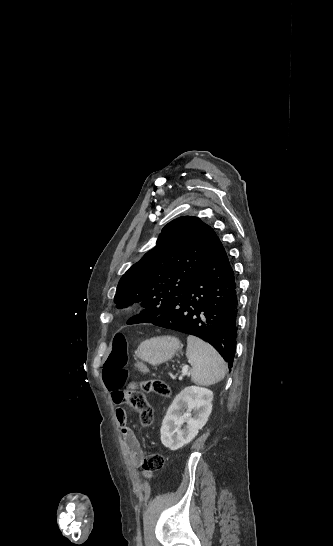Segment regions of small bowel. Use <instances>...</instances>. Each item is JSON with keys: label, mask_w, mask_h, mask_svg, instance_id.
<instances>
[{"label": "small bowel", "mask_w": 333, "mask_h": 546, "mask_svg": "<svg viewBox=\"0 0 333 546\" xmlns=\"http://www.w3.org/2000/svg\"><path fill=\"white\" fill-rule=\"evenodd\" d=\"M133 368L135 372L138 374H144V373L147 374L150 371L146 361H143L141 359L138 361H135ZM122 393H123L122 390L110 391V396L113 403L118 406V409L116 411V416L120 426L123 427L122 437H123L124 446H125L129 463L132 466L138 467L143 462L144 453L138 438L136 437L134 432L130 428H128V426L126 425L127 423L125 421H126L127 413L124 409L120 408V406L124 403L122 400V395H123ZM145 476L147 478L151 477V473L146 472Z\"/></svg>", "instance_id": "small-bowel-1"}]
</instances>
